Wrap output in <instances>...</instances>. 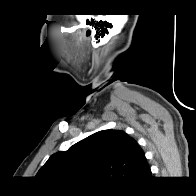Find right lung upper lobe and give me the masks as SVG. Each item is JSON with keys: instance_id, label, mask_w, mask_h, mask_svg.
<instances>
[{"instance_id": "obj_1", "label": "right lung upper lobe", "mask_w": 196, "mask_h": 196, "mask_svg": "<svg viewBox=\"0 0 196 196\" xmlns=\"http://www.w3.org/2000/svg\"><path fill=\"white\" fill-rule=\"evenodd\" d=\"M151 174L138 143L121 130H102L53 154L36 177L50 184L130 186Z\"/></svg>"}]
</instances>
